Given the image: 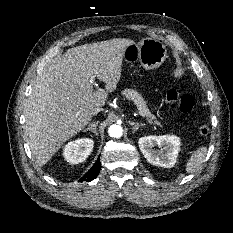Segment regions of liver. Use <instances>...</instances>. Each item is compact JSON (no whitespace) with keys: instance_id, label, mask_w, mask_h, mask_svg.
<instances>
[{"instance_id":"obj_1","label":"liver","mask_w":233,"mask_h":233,"mask_svg":"<svg viewBox=\"0 0 233 233\" xmlns=\"http://www.w3.org/2000/svg\"><path fill=\"white\" fill-rule=\"evenodd\" d=\"M134 42L116 38L68 49L36 79L26 107L25 133L32 155L46 164L90 121L116 88L125 49ZM95 79L106 84L93 90Z\"/></svg>"}]
</instances>
